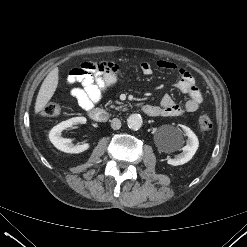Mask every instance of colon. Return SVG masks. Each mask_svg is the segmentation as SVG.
I'll use <instances>...</instances> for the list:
<instances>
[{
  "label": "colon",
  "instance_id": "colon-1",
  "mask_svg": "<svg viewBox=\"0 0 247 247\" xmlns=\"http://www.w3.org/2000/svg\"><path fill=\"white\" fill-rule=\"evenodd\" d=\"M62 108L59 104L50 102L42 109V115L45 117H54L61 113ZM213 126L211 118L207 114H201L197 119V127L202 132L209 131Z\"/></svg>",
  "mask_w": 247,
  "mask_h": 247
}]
</instances>
